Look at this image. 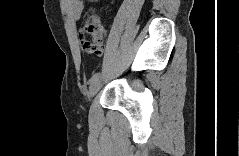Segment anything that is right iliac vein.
<instances>
[{
  "instance_id": "1",
  "label": "right iliac vein",
  "mask_w": 239,
  "mask_h": 156,
  "mask_svg": "<svg viewBox=\"0 0 239 156\" xmlns=\"http://www.w3.org/2000/svg\"><path fill=\"white\" fill-rule=\"evenodd\" d=\"M101 86V80H97L95 83L92 84L88 93V100H91L94 97V95L100 90Z\"/></svg>"
}]
</instances>
